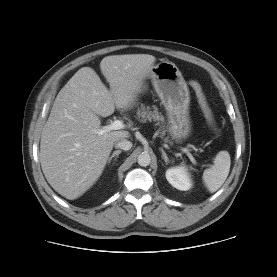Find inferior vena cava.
<instances>
[{"label": "inferior vena cava", "instance_id": "602c4592", "mask_svg": "<svg viewBox=\"0 0 277 277\" xmlns=\"http://www.w3.org/2000/svg\"><path fill=\"white\" fill-rule=\"evenodd\" d=\"M115 147L126 151V150L131 149L132 143L130 141H128L127 139H120L115 142Z\"/></svg>", "mask_w": 277, "mask_h": 277}]
</instances>
